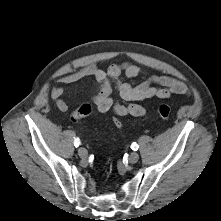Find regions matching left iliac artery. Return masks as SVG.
Instances as JSON below:
<instances>
[{"mask_svg":"<svg viewBox=\"0 0 221 221\" xmlns=\"http://www.w3.org/2000/svg\"><path fill=\"white\" fill-rule=\"evenodd\" d=\"M131 148H132L134 151H136V150H138L139 146H138V144L133 143V144L131 145Z\"/></svg>","mask_w":221,"mask_h":221,"instance_id":"44dca946","label":"left iliac artery"}]
</instances>
